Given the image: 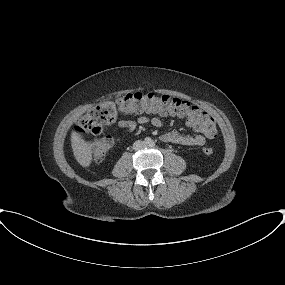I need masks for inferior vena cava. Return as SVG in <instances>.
Masks as SVG:
<instances>
[{"instance_id":"obj_1","label":"inferior vena cava","mask_w":285,"mask_h":285,"mask_svg":"<svg viewBox=\"0 0 285 285\" xmlns=\"http://www.w3.org/2000/svg\"><path fill=\"white\" fill-rule=\"evenodd\" d=\"M145 147H146V144H145L143 141H141V140H137V141H135L134 144H133V149H134L135 151L142 150V149H144Z\"/></svg>"}]
</instances>
